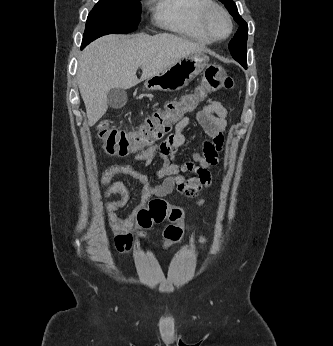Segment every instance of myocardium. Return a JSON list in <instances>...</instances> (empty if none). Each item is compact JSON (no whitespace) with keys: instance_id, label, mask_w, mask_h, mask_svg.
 <instances>
[{"instance_id":"obj_1","label":"myocardium","mask_w":333,"mask_h":346,"mask_svg":"<svg viewBox=\"0 0 333 346\" xmlns=\"http://www.w3.org/2000/svg\"><path fill=\"white\" fill-rule=\"evenodd\" d=\"M215 13H220L221 15H223L228 22V31L222 37L216 36L213 33L211 25H210L211 17ZM201 19H202L203 28L205 29V31L211 37L212 40H220V39L228 38L233 31V21H232L230 14L228 13V11L225 8H223L222 6H220L216 3H212L203 11Z\"/></svg>"}]
</instances>
